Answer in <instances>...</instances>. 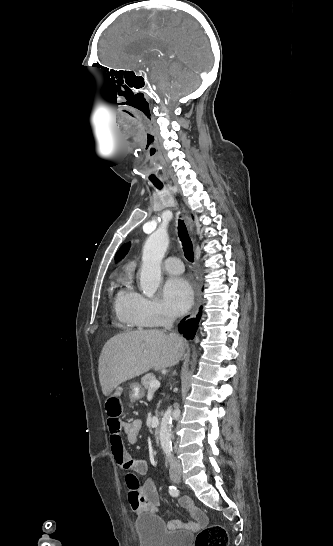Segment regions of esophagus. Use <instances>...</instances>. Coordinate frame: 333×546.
Masks as SVG:
<instances>
[{"mask_svg":"<svg viewBox=\"0 0 333 546\" xmlns=\"http://www.w3.org/2000/svg\"><path fill=\"white\" fill-rule=\"evenodd\" d=\"M189 229L192 231V226H191L190 224H189ZM198 305H199V299H198V296H197V294H196L195 305H194V307L197 308Z\"/></svg>","mask_w":333,"mask_h":546,"instance_id":"1","label":"esophagus"}]
</instances>
